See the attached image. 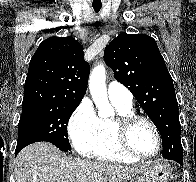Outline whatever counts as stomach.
I'll use <instances>...</instances> for the list:
<instances>
[{"label": "stomach", "instance_id": "1", "mask_svg": "<svg viewBox=\"0 0 196 182\" xmlns=\"http://www.w3.org/2000/svg\"><path fill=\"white\" fill-rule=\"evenodd\" d=\"M171 168L166 163L154 162L132 174L125 182H167Z\"/></svg>", "mask_w": 196, "mask_h": 182}]
</instances>
